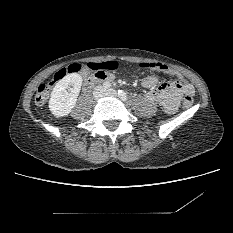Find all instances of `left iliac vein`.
<instances>
[{"instance_id":"1","label":"left iliac vein","mask_w":233,"mask_h":233,"mask_svg":"<svg viewBox=\"0 0 233 233\" xmlns=\"http://www.w3.org/2000/svg\"><path fill=\"white\" fill-rule=\"evenodd\" d=\"M106 95L116 96V95H117V91L114 90V89H109V90L106 92Z\"/></svg>"}]
</instances>
